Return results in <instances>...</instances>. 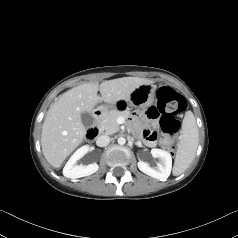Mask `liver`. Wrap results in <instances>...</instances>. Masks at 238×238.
I'll return each mask as SVG.
<instances>
[{
  "label": "liver",
  "mask_w": 238,
  "mask_h": 238,
  "mask_svg": "<svg viewBox=\"0 0 238 238\" xmlns=\"http://www.w3.org/2000/svg\"><path fill=\"white\" fill-rule=\"evenodd\" d=\"M153 81L139 77H123L98 83H84L63 93L50 105L41 134V147L47 162L60 167L83 141L86 133L81 121L83 112L91 113L99 102L115 104L128 101L131 93ZM98 91L101 97L97 95Z\"/></svg>",
  "instance_id": "liver-1"
}]
</instances>
